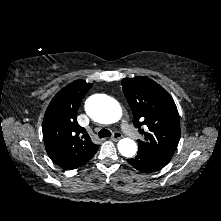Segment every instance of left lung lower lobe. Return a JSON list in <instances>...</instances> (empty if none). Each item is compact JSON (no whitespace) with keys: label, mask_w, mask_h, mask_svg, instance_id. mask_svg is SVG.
I'll return each mask as SVG.
<instances>
[{"label":"left lung lower lobe","mask_w":221,"mask_h":221,"mask_svg":"<svg viewBox=\"0 0 221 221\" xmlns=\"http://www.w3.org/2000/svg\"><path fill=\"white\" fill-rule=\"evenodd\" d=\"M127 161L131 166L143 173L158 171L168 164L140 151H138L136 157L127 159Z\"/></svg>","instance_id":"left-lung-lower-lobe-1"}]
</instances>
